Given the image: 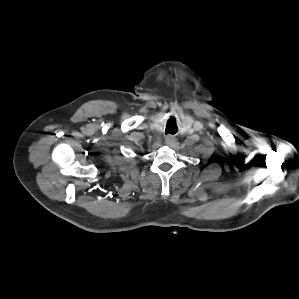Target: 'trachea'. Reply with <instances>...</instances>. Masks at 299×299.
Masks as SVG:
<instances>
[{
    "instance_id": "obj_1",
    "label": "trachea",
    "mask_w": 299,
    "mask_h": 299,
    "mask_svg": "<svg viewBox=\"0 0 299 299\" xmlns=\"http://www.w3.org/2000/svg\"><path fill=\"white\" fill-rule=\"evenodd\" d=\"M176 130V125L175 124H173V123H169V124H167V126H166V134H168V133H174V131Z\"/></svg>"
}]
</instances>
